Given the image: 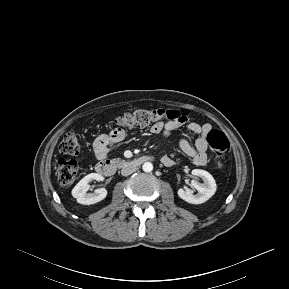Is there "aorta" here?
Returning a JSON list of instances; mask_svg holds the SVG:
<instances>
[{
	"mask_svg": "<svg viewBox=\"0 0 289 289\" xmlns=\"http://www.w3.org/2000/svg\"><path fill=\"white\" fill-rule=\"evenodd\" d=\"M142 169L144 172H151L153 170V164L151 162H145L142 165Z\"/></svg>",
	"mask_w": 289,
	"mask_h": 289,
	"instance_id": "762f6f07",
	"label": "aorta"
}]
</instances>
